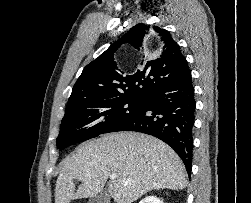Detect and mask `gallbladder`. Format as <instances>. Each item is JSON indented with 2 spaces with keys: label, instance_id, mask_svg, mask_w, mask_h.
Segmentation results:
<instances>
[{
  "label": "gallbladder",
  "instance_id": "1",
  "mask_svg": "<svg viewBox=\"0 0 251 203\" xmlns=\"http://www.w3.org/2000/svg\"><path fill=\"white\" fill-rule=\"evenodd\" d=\"M88 203H110V194L108 189L104 188L96 196L92 197Z\"/></svg>",
  "mask_w": 251,
  "mask_h": 203
}]
</instances>
